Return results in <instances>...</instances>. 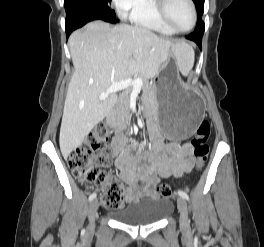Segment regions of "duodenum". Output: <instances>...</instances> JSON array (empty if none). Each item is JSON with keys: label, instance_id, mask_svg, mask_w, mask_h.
Wrapping results in <instances>:
<instances>
[{"label": "duodenum", "instance_id": "410a0bca", "mask_svg": "<svg viewBox=\"0 0 264 247\" xmlns=\"http://www.w3.org/2000/svg\"><path fill=\"white\" fill-rule=\"evenodd\" d=\"M105 121L109 128L116 133H118L123 128V125L118 123L110 113L106 115Z\"/></svg>", "mask_w": 264, "mask_h": 247}]
</instances>
